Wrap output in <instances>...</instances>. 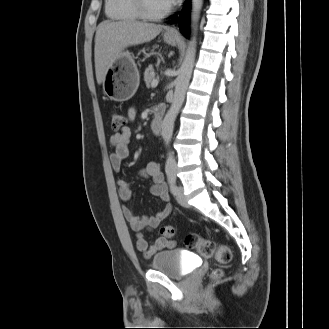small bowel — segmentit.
I'll return each mask as SVG.
<instances>
[{
	"mask_svg": "<svg viewBox=\"0 0 329 329\" xmlns=\"http://www.w3.org/2000/svg\"><path fill=\"white\" fill-rule=\"evenodd\" d=\"M128 116L129 119L134 118V109L129 110ZM130 137L131 130L129 127H125L121 131L113 133L110 137V145L113 149L110 161L113 170L116 172L121 170L122 163L129 154ZM139 176L148 179L151 182V194L160 197L167 203L163 210L151 217H139L129 207L124 206L122 208L124 218L136 233L137 250L142 252L145 257H151L165 249L174 248L176 245L175 241L168 240L164 237L149 242L145 235L147 231H152L160 225V223L170 214L172 207L169 203L170 196L164 183V176L159 162L153 161L142 167L139 170ZM117 185L119 198L122 201L130 200L132 196L131 183L126 179H119Z\"/></svg>",
	"mask_w": 329,
	"mask_h": 329,
	"instance_id": "obj_1",
	"label": "small bowel"
}]
</instances>
